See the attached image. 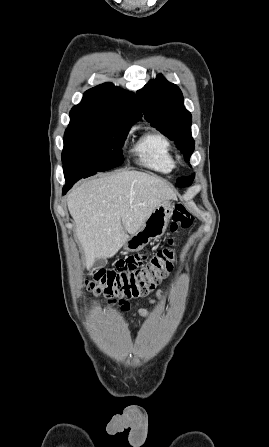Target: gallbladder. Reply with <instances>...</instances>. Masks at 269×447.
Returning <instances> with one entry per match:
<instances>
[{
    "mask_svg": "<svg viewBox=\"0 0 269 447\" xmlns=\"http://www.w3.org/2000/svg\"><path fill=\"white\" fill-rule=\"evenodd\" d=\"M106 263L107 259H104V257H102V259H97V261H94L93 267H105Z\"/></svg>",
    "mask_w": 269,
    "mask_h": 447,
    "instance_id": "1",
    "label": "gallbladder"
}]
</instances>
